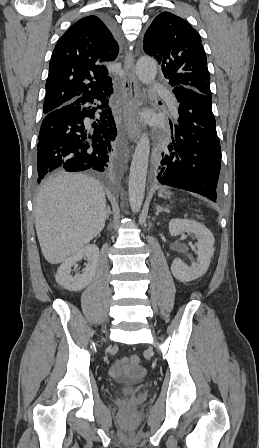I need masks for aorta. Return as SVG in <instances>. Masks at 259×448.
<instances>
[{"instance_id":"aorta-1","label":"aorta","mask_w":259,"mask_h":448,"mask_svg":"<svg viewBox=\"0 0 259 448\" xmlns=\"http://www.w3.org/2000/svg\"><path fill=\"white\" fill-rule=\"evenodd\" d=\"M156 74L157 63L153 58L145 56L137 61L136 75L140 82L150 84ZM149 155L150 141L148 136L143 134L136 145L129 173V203L133 212H138L143 203Z\"/></svg>"}]
</instances>
